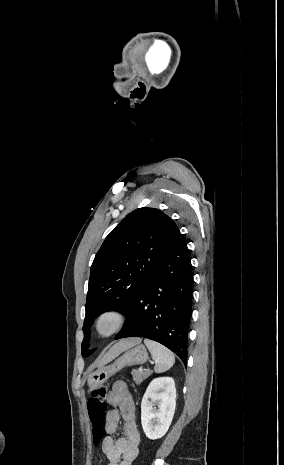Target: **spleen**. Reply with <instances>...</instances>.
Listing matches in <instances>:
<instances>
[{
    "label": "spleen",
    "instance_id": "1",
    "mask_svg": "<svg viewBox=\"0 0 284 465\" xmlns=\"http://www.w3.org/2000/svg\"><path fill=\"white\" fill-rule=\"evenodd\" d=\"M148 351L152 355L153 361H156L154 367L155 373H165L168 369H171L175 363V357L169 349L160 345V343H155V341H149L145 339L144 341Z\"/></svg>",
    "mask_w": 284,
    "mask_h": 465
}]
</instances>
